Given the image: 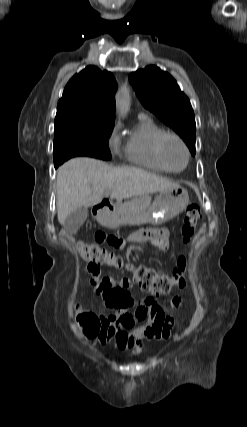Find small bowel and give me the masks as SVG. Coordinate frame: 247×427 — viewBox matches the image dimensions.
<instances>
[{"label": "small bowel", "mask_w": 247, "mask_h": 427, "mask_svg": "<svg viewBox=\"0 0 247 427\" xmlns=\"http://www.w3.org/2000/svg\"><path fill=\"white\" fill-rule=\"evenodd\" d=\"M95 243L98 246H108L112 250H120L125 246V240L114 236L113 232L104 229L95 231ZM135 243L153 242L161 251L169 249V231L166 227L140 230L131 236ZM87 270L91 275L90 283L104 305L112 312L100 319L105 329L104 340L114 338L118 347L141 348L143 340H163L170 336L174 324L172 316L151 298L136 300L130 290L134 283L130 279L115 280L110 277L100 278V268L89 263ZM171 307H178L181 298L174 296L170 299ZM140 322V325H136Z\"/></svg>", "instance_id": "c3829d8e"}]
</instances>
